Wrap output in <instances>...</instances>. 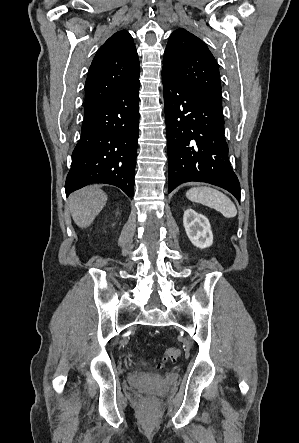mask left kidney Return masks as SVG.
Wrapping results in <instances>:
<instances>
[{"label":"left kidney","instance_id":"1","mask_svg":"<svg viewBox=\"0 0 299 443\" xmlns=\"http://www.w3.org/2000/svg\"><path fill=\"white\" fill-rule=\"evenodd\" d=\"M183 225L191 243L204 249L213 244V234L209 220L202 214H198L189 208L184 211Z\"/></svg>","mask_w":299,"mask_h":443}]
</instances>
